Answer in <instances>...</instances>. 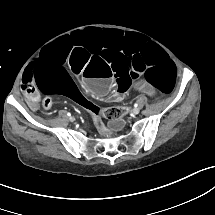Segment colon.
<instances>
[{
  "mask_svg": "<svg viewBox=\"0 0 215 215\" xmlns=\"http://www.w3.org/2000/svg\"><path fill=\"white\" fill-rule=\"evenodd\" d=\"M42 105L45 109H50L52 105L51 98L47 97L43 100ZM90 111L96 116H102L110 120L118 119L125 114V108L111 107L106 109L98 108L95 105L89 107Z\"/></svg>",
  "mask_w": 215,
  "mask_h": 215,
  "instance_id": "5ec220e1",
  "label": "colon"
}]
</instances>
